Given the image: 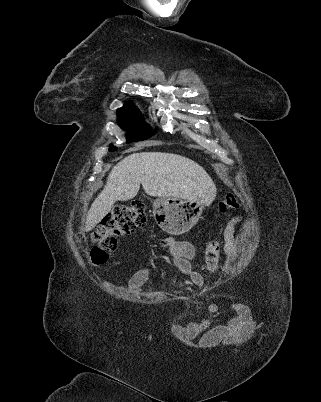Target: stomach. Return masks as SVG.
<instances>
[{
  "label": "stomach",
  "instance_id": "0dacf381",
  "mask_svg": "<svg viewBox=\"0 0 321 402\" xmlns=\"http://www.w3.org/2000/svg\"><path fill=\"white\" fill-rule=\"evenodd\" d=\"M204 207L201 199L160 197L153 201V217L164 232L182 235L198 222Z\"/></svg>",
  "mask_w": 321,
  "mask_h": 402
}]
</instances>
